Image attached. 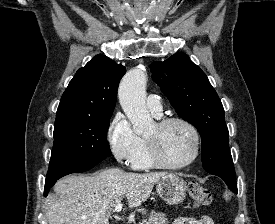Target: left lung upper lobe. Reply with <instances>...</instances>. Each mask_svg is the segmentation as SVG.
I'll use <instances>...</instances> for the list:
<instances>
[{"instance_id": "left-lung-upper-lobe-1", "label": "left lung upper lobe", "mask_w": 275, "mask_h": 224, "mask_svg": "<svg viewBox=\"0 0 275 224\" xmlns=\"http://www.w3.org/2000/svg\"><path fill=\"white\" fill-rule=\"evenodd\" d=\"M150 69L177 114L199 131L203 168L223 180H236L224 109L205 73L184 53L155 61Z\"/></svg>"}]
</instances>
